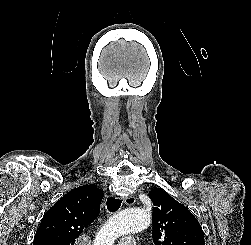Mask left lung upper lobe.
I'll use <instances>...</instances> for the list:
<instances>
[{"label": "left lung upper lobe", "mask_w": 251, "mask_h": 245, "mask_svg": "<svg viewBox=\"0 0 251 245\" xmlns=\"http://www.w3.org/2000/svg\"><path fill=\"white\" fill-rule=\"evenodd\" d=\"M152 237L155 245H205L202 227L194 215L161 188L152 189Z\"/></svg>", "instance_id": "1"}]
</instances>
